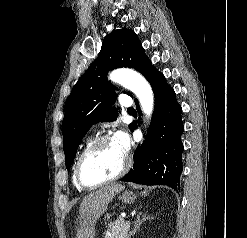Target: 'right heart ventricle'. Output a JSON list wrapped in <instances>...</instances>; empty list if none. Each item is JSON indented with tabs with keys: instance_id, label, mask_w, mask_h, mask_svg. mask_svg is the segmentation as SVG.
<instances>
[{
	"instance_id": "e07e8e85",
	"label": "right heart ventricle",
	"mask_w": 247,
	"mask_h": 238,
	"mask_svg": "<svg viewBox=\"0 0 247 238\" xmlns=\"http://www.w3.org/2000/svg\"><path fill=\"white\" fill-rule=\"evenodd\" d=\"M90 143H91L90 140H88V141L86 142V144H85V146H84V148H83V151L89 146ZM83 151H82V152H83ZM75 166H76V164H75ZM72 181H73V184L76 186V188H78V189H80V190L84 189V188H82V187L77 183V181H76V178H75V167H74V170H73Z\"/></svg>"
}]
</instances>
